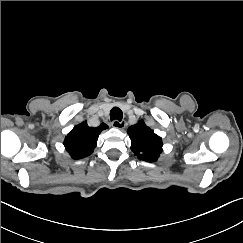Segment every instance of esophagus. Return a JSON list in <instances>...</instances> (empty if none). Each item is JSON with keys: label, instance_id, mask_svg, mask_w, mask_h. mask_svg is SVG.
I'll return each mask as SVG.
<instances>
[{"label": "esophagus", "instance_id": "34e87169", "mask_svg": "<svg viewBox=\"0 0 243 243\" xmlns=\"http://www.w3.org/2000/svg\"><path fill=\"white\" fill-rule=\"evenodd\" d=\"M126 123L124 121H118L114 120L112 122V126L117 129H123L125 127Z\"/></svg>", "mask_w": 243, "mask_h": 243}]
</instances>
